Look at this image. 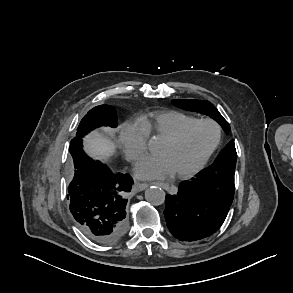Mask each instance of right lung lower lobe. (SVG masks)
I'll return each instance as SVG.
<instances>
[{
    "label": "right lung lower lobe",
    "mask_w": 293,
    "mask_h": 293,
    "mask_svg": "<svg viewBox=\"0 0 293 293\" xmlns=\"http://www.w3.org/2000/svg\"><path fill=\"white\" fill-rule=\"evenodd\" d=\"M69 152L74 176L68 186L70 211L80 230L100 244H112L126 234L128 220L125 194L130 191L129 174L113 173L82 150V138L71 140Z\"/></svg>",
    "instance_id": "98d812e1"
}]
</instances>
